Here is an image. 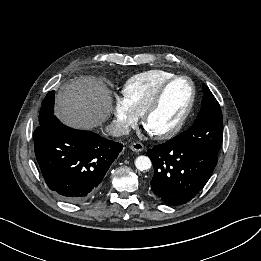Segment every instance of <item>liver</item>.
I'll return each instance as SVG.
<instances>
[{"mask_svg": "<svg viewBox=\"0 0 261 261\" xmlns=\"http://www.w3.org/2000/svg\"><path fill=\"white\" fill-rule=\"evenodd\" d=\"M110 91L101 79L84 76L60 87L55 115L66 125L90 130L100 126L111 111Z\"/></svg>", "mask_w": 261, "mask_h": 261, "instance_id": "1", "label": "liver"}]
</instances>
